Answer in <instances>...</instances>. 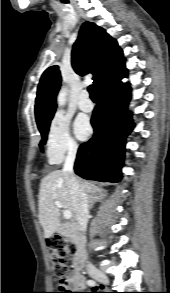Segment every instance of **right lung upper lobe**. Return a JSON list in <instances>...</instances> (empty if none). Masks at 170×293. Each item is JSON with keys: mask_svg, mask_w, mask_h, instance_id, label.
Wrapping results in <instances>:
<instances>
[{"mask_svg": "<svg viewBox=\"0 0 170 293\" xmlns=\"http://www.w3.org/2000/svg\"><path fill=\"white\" fill-rule=\"evenodd\" d=\"M125 58L115 39L92 22H85L73 45L72 66L77 74H93L98 89L108 79L125 71ZM61 86L58 66H51L42 74L38 85L35 116L38 128L50 125L56 109V95Z\"/></svg>", "mask_w": 170, "mask_h": 293, "instance_id": "cb5924a9", "label": "right lung upper lobe"}]
</instances>
